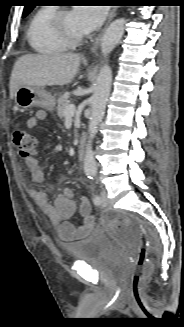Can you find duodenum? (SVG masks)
I'll return each mask as SVG.
<instances>
[{
	"mask_svg": "<svg viewBox=\"0 0 184 327\" xmlns=\"http://www.w3.org/2000/svg\"><path fill=\"white\" fill-rule=\"evenodd\" d=\"M86 147H87V138L85 136H82L80 138V142L78 145V158L82 161L85 157V152H86Z\"/></svg>",
	"mask_w": 184,
	"mask_h": 327,
	"instance_id": "410a0bca",
	"label": "duodenum"
}]
</instances>
